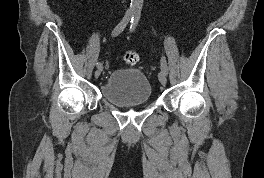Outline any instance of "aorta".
Returning a JSON list of instances; mask_svg holds the SVG:
<instances>
[{"label": "aorta", "instance_id": "1", "mask_svg": "<svg viewBox=\"0 0 264 178\" xmlns=\"http://www.w3.org/2000/svg\"><path fill=\"white\" fill-rule=\"evenodd\" d=\"M143 1L144 0H131L130 9L140 12L143 6Z\"/></svg>", "mask_w": 264, "mask_h": 178}]
</instances>
